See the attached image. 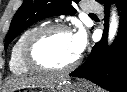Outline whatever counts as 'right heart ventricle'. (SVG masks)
I'll use <instances>...</instances> for the list:
<instances>
[{
    "mask_svg": "<svg viewBox=\"0 0 127 92\" xmlns=\"http://www.w3.org/2000/svg\"><path fill=\"white\" fill-rule=\"evenodd\" d=\"M38 26L27 28L14 43L9 60L10 71L16 75H27L32 73V70L28 68L22 59V48L26 38L35 30Z\"/></svg>",
    "mask_w": 127,
    "mask_h": 92,
    "instance_id": "obj_1",
    "label": "right heart ventricle"
}]
</instances>
